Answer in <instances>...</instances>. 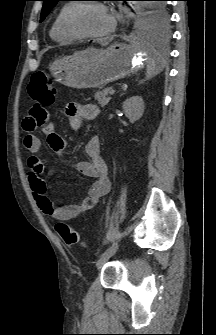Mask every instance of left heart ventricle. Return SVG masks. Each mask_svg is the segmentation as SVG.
Listing matches in <instances>:
<instances>
[{"label": "left heart ventricle", "instance_id": "b2bd125f", "mask_svg": "<svg viewBox=\"0 0 216 335\" xmlns=\"http://www.w3.org/2000/svg\"><path fill=\"white\" fill-rule=\"evenodd\" d=\"M74 24L83 32L100 33L110 27L111 19L102 8L86 5L75 12Z\"/></svg>", "mask_w": 216, "mask_h": 335}]
</instances>
